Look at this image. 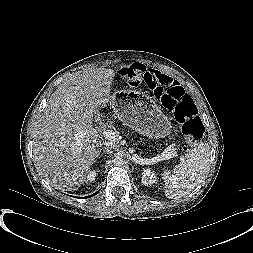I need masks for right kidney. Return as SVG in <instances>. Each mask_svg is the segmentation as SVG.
<instances>
[{
    "instance_id": "1",
    "label": "right kidney",
    "mask_w": 253,
    "mask_h": 253,
    "mask_svg": "<svg viewBox=\"0 0 253 253\" xmlns=\"http://www.w3.org/2000/svg\"><path fill=\"white\" fill-rule=\"evenodd\" d=\"M96 176H97V172H96L95 170L91 171V172L88 174V176H87L85 182H86V183L94 182Z\"/></svg>"
}]
</instances>
